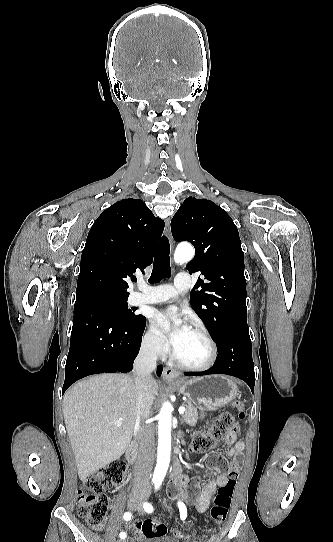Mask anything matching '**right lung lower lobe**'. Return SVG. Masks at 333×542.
Listing matches in <instances>:
<instances>
[{"label": "right lung lower lobe", "instance_id": "obj_1", "mask_svg": "<svg viewBox=\"0 0 333 542\" xmlns=\"http://www.w3.org/2000/svg\"><path fill=\"white\" fill-rule=\"evenodd\" d=\"M106 255V252L96 250L93 259L100 261ZM145 323L146 318L134 324L120 320L93 300L76 301L63 393L75 381L88 375L132 370ZM161 373L162 366H158L157 375Z\"/></svg>", "mask_w": 333, "mask_h": 542}]
</instances>
